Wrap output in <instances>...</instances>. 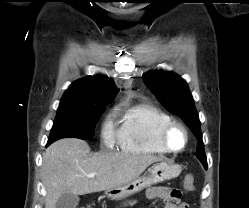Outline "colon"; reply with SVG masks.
<instances>
[{"mask_svg": "<svg viewBox=\"0 0 249 208\" xmlns=\"http://www.w3.org/2000/svg\"><path fill=\"white\" fill-rule=\"evenodd\" d=\"M194 176L192 174H188L184 178V185L186 190L191 191L193 189Z\"/></svg>", "mask_w": 249, "mask_h": 208, "instance_id": "5ec220e1", "label": "colon"}]
</instances>
